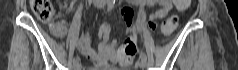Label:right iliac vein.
Masks as SVG:
<instances>
[{
	"mask_svg": "<svg viewBox=\"0 0 238 70\" xmlns=\"http://www.w3.org/2000/svg\"><path fill=\"white\" fill-rule=\"evenodd\" d=\"M81 69V64L79 62H74L73 63V70H80Z\"/></svg>",
	"mask_w": 238,
	"mask_h": 70,
	"instance_id": "1",
	"label": "right iliac vein"
}]
</instances>
